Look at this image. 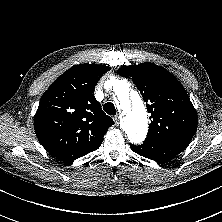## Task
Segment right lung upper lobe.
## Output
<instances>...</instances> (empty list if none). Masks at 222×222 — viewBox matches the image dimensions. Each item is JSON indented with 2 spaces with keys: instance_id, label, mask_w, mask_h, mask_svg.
Instances as JSON below:
<instances>
[{
  "instance_id": "cb5924a9",
  "label": "right lung upper lobe",
  "mask_w": 222,
  "mask_h": 222,
  "mask_svg": "<svg viewBox=\"0 0 222 222\" xmlns=\"http://www.w3.org/2000/svg\"><path fill=\"white\" fill-rule=\"evenodd\" d=\"M110 69L89 63L72 66L41 97L34 117L35 133L59 160L72 162L97 150L113 125L93 94L97 82Z\"/></svg>"
}]
</instances>
